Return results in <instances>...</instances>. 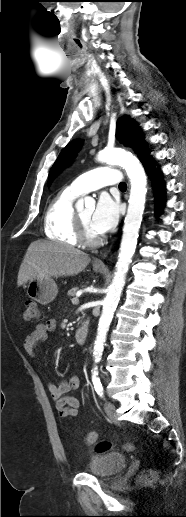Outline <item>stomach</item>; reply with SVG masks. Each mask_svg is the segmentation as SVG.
<instances>
[{"instance_id": "0dacf381", "label": "stomach", "mask_w": 186, "mask_h": 517, "mask_svg": "<svg viewBox=\"0 0 186 517\" xmlns=\"http://www.w3.org/2000/svg\"><path fill=\"white\" fill-rule=\"evenodd\" d=\"M104 267L94 266L95 272H103ZM27 295L42 305L51 303L58 293V288L52 278L34 279L26 286Z\"/></svg>"}]
</instances>
